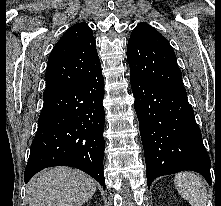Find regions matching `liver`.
Instances as JSON below:
<instances>
[{"instance_id": "obj_1", "label": "liver", "mask_w": 221, "mask_h": 206, "mask_svg": "<svg viewBox=\"0 0 221 206\" xmlns=\"http://www.w3.org/2000/svg\"><path fill=\"white\" fill-rule=\"evenodd\" d=\"M96 191V181L80 170L56 167L42 171L27 189L29 206H81Z\"/></svg>"}]
</instances>
